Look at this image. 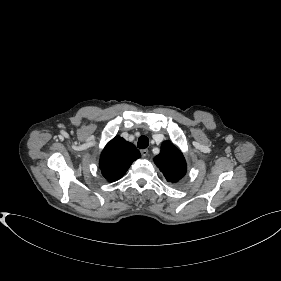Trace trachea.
Masks as SVG:
<instances>
[{
  "label": "trachea",
  "instance_id": "3493384b",
  "mask_svg": "<svg viewBox=\"0 0 281 281\" xmlns=\"http://www.w3.org/2000/svg\"><path fill=\"white\" fill-rule=\"evenodd\" d=\"M148 145H149V139L146 136H141L138 139V143H137L138 148L145 149L148 147Z\"/></svg>",
  "mask_w": 281,
  "mask_h": 281
}]
</instances>
